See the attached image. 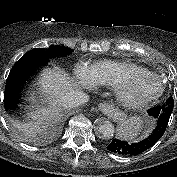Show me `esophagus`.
<instances>
[{
  "label": "esophagus",
  "instance_id": "1",
  "mask_svg": "<svg viewBox=\"0 0 177 177\" xmlns=\"http://www.w3.org/2000/svg\"><path fill=\"white\" fill-rule=\"evenodd\" d=\"M99 109L104 113H110L113 110V106L108 103H100L98 105Z\"/></svg>",
  "mask_w": 177,
  "mask_h": 177
}]
</instances>
